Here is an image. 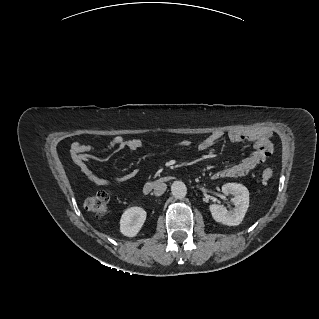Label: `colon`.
<instances>
[{
  "label": "colon",
  "mask_w": 319,
  "mask_h": 319,
  "mask_svg": "<svg viewBox=\"0 0 319 319\" xmlns=\"http://www.w3.org/2000/svg\"><path fill=\"white\" fill-rule=\"evenodd\" d=\"M264 150L267 155L270 154L272 146L269 141L264 143ZM274 176V172L270 168H266L262 171V179L264 181H270ZM110 201V194L108 191H100L96 194L88 197L84 202V208L89 213L96 217H102L108 210Z\"/></svg>",
  "instance_id": "1"
}]
</instances>
